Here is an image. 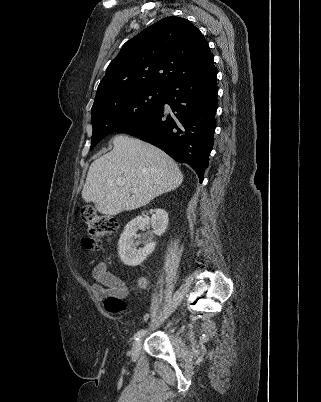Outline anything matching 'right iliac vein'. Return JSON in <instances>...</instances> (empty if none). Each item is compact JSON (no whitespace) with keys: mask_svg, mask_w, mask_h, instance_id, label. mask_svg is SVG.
<instances>
[{"mask_svg":"<svg viewBox=\"0 0 321 402\" xmlns=\"http://www.w3.org/2000/svg\"><path fill=\"white\" fill-rule=\"evenodd\" d=\"M141 345H142V338H139L138 340L134 341L131 351L132 360H136L138 358L141 350Z\"/></svg>","mask_w":321,"mask_h":402,"instance_id":"63e3f726","label":"right iliac vein"}]
</instances>
